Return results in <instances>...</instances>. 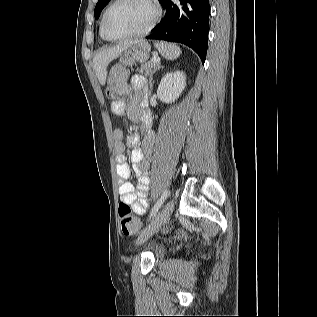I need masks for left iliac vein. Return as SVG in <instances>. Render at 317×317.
Segmentation results:
<instances>
[{
    "mask_svg": "<svg viewBox=\"0 0 317 317\" xmlns=\"http://www.w3.org/2000/svg\"><path fill=\"white\" fill-rule=\"evenodd\" d=\"M175 202L174 200H170L166 203L164 208L160 211V213L153 219L149 226H147L143 232L140 234L137 243L142 244L147 241L156 231L157 229L165 223L174 210Z\"/></svg>",
    "mask_w": 317,
    "mask_h": 317,
    "instance_id": "obj_1",
    "label": "left iliac vein"
}]
</instances>
